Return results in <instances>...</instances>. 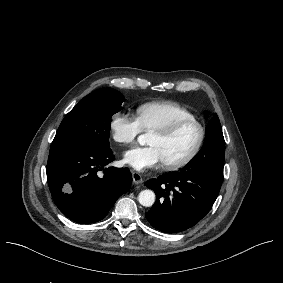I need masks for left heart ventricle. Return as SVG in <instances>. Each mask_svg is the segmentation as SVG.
<instances>
[{
	"instance_id": "1",
	"label": "left heart ventricle",
	"mask_w": 283,
	"mask_h": 283,
	"mask_svg": "<svg viewBox=\"0 0 283 283\" xmlns=\"http://www.w3.org/2000/svg\"><path fill=\"white\" fill-rule=\"evenodd\" d=\"M198 138V129L194 124H186L170 139H162L153 134L150 145L158 147L165 163H175L185 158L193 149Z\"/></svg>"
}]
</instances>
